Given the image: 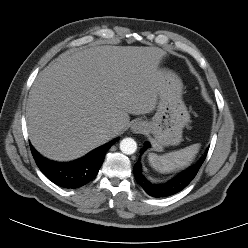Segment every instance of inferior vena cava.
Instances as JSON below:
<instances>
[{"instance_id":"inferior-vena-cava-1","label":"inferior vena cava","mask_w":248,"mask_h":248,"mask_svg":"<svg viewBox=\"0 0 248 248\" xmlns=\"http://www.w3.org/2000/svg\"><path fill=\"white\" fill-rule=\"evenodd\" d=\"M113 132H115L114 129H108V130H107V133H108V134H112Z\"/></svg>"}]
</instances>
